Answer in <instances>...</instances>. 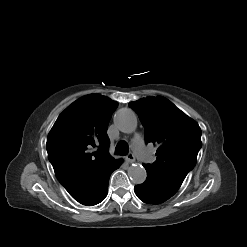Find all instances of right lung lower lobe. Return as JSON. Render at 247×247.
<instances>
[{"label":"right lung lower lobe","instance_id":"98d812e1","mask_svg":"<svg viewBox=\"0 0 247 247\" xmlns=\"http://www.w3.org/2000/svg\"><path fill=\"white\" fill-rule=\"evenodd\" d=\"M121 163V161H117L112 167L91 180L77 193L72 195V197L79 203L86 206H92L102 202L108 193V182L110 175L114 170L119 168Z\"/></svg>","mask_w":247,"mask_h":247}]
</instances>
